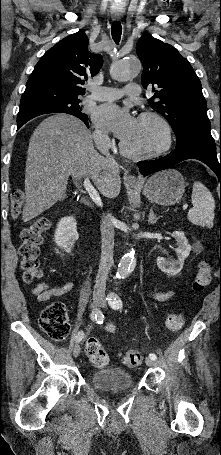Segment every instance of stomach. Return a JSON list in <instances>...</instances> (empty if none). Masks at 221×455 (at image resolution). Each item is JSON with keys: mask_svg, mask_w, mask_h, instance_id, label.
I'll return each mask as SVG.
<instances>
[{"mask_svg": "<svg viewBox=\"0 0 221 455\" xmlns=\"http://www.w3.org/2000/svg\"><path fill=\"white\" fill-rule=\"evenodd\" d=\"M143 194L153 203L170 206L178 203L185 192V180L180 172L167 169L149 177Z\"/></svg>", "mask_w": 221, "mask_h": 455, "instance_id": "1", "label": "stomach"}]
</instances>
